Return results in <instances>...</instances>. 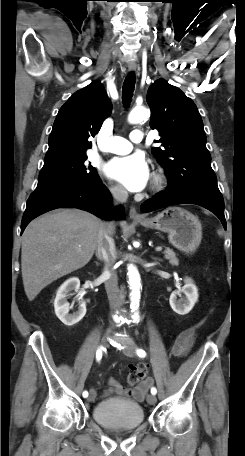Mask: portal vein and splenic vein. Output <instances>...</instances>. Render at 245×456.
<instances>
[{
	"mask_svg": "<svg viewBox=\"0 0 245 456\" xmlns=\"http://www.w3.org/2000/svg\"><path fill=\"white\" fill-rule=\"evenodd\" d=\"M155 250H156L157 252H160V251H162V247L158 246V247L155 248Z\"/></svg>",
	"mask_w": 245,
	"mask_h": 456,
	"instance_id": "obj_1",
	"label": "portal vein and splenic vein"
}]
</instances>
